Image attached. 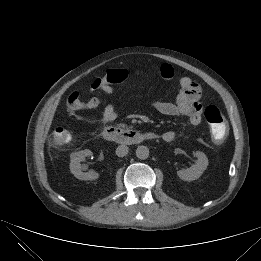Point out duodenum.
Segmentation results:
<instances>
[{"mask_svg": "<svg viewBox=\"0 0 261 261\" xmlns=\"http://www.w3.org/2000/svg\"><path fill=\"white\" fill-rule=\"evenodd\" d=\"M102 136L104 139L117 142L125 145L138 144L144 140H150L156 138V134L153 132L141 133L133 129H122L115 126L106 127Z\"/></svg>", "mask_w": 261, "mask_h": 261, "instance_id": "410a0bca", "label": "duodenum"}]
</instances>
